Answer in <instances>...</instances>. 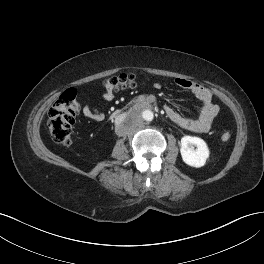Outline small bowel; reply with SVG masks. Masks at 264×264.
I'll list each match as a JSON object with an SVG mask.
<instances>
[{"label":"small bowel","instance_id":"obj_1","mask_svg":"<svg viewBox=\"0 0 264 264\" xmlns=\"http://www.w3.org/2000/svg\"><path fill=\"white\" fill-rule=\"evenodd\" d=\"M153 84L155 87H160L159 82H154ZM175 84L181 88L191 91L196 96L200 103V111L197 117L189 118L181 115L171 107L166 106L164 110L167 117L182 129L195 133L208 132L219 112L218 106L212 102L211 92L199 83L187 79H176ZM114 97L115 93L105 89L103 98L107 102L112 101ZM82 113L85 117L97 122L102 121L105 117L103 111L98 108L91 107L88 104L84 105Z\"/></svg>","mask_w":264,"mask_h":264}]
</instances>
